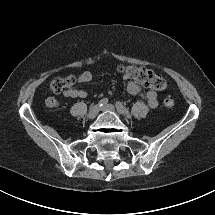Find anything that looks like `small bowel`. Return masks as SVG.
Wrapping results in <instances>:
<instances>
[{
	"mask_svg": "<svg viewBox=\"0 0 215 215\" xmlns=\"http://www.w3.org/2000/svg\"><path fill=\"white\" fill-rule=\"evenodd\" d=\"M92 74L89 71H83L78 75L77 80L79 83H89L92 81ZM127 91L132 95L140 94V87L134 81H129L127 83ZM64 96L68 98H85L87 92L78 88H69L64 91ZM146 100L147 104L151 108H156L158 106L157 93L153 90H149L145 95H142Z\"/></svg>",
	"mask_w": 215,
	"mask_h": 215,
	"instance_id": "1",
	"label": "small bowel"
}]
</instances>
